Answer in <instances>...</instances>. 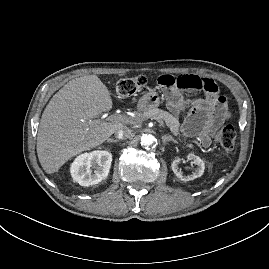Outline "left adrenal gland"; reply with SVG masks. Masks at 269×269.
Returning <instances> with one entry per match:
<instances>
[{"mask_svg":"<svg viewBox=\"0 0 269 269\" xmlns=\"http://www.w3.org/2000/svg\"><path fill=\"white\" fill-rule=\"evenodd\" d=\"M161 139H162L163 144H166L169 141H172L176 144L178 143L171 135H163Z\"/></svg>","mask_w":269,"mask_h":269,"instance_id":"a2214340","label":"left adrenal gland"}]
</instances>
